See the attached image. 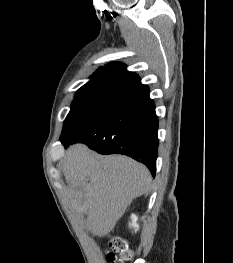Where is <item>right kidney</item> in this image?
<instances>
[{"label": "right kidney", "mask_w": 233, "mask_h": 263, "mask_svg": "<svg viewBox=\"0 0 233 263\" xmlns=\"http://www.w3.org/2000/svg\"><path fill=\"white\" fill-rule=\"evenodd\" d=\"M131 220H132V223H130L129 225L132 226L135 229V231L138 230L139 225L137 224V220H138L137 216L132 214Z\"/></svg>", "instance_id": "1"}]
</instances>
